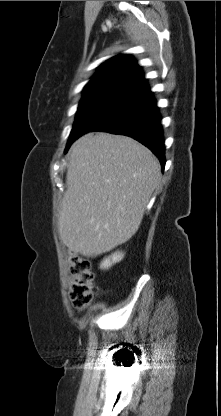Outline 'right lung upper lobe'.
I'll list each match as a JSON object with an SVG mask.
<instances>
[{"label": "right lung upper lobe", "instance_id": "cb5924a9", "mask_svg": "<svg viewBox=\"0 0 221 416\" xmlns=\"http://www.w3.org/2000/svg\"><path fill=\"white\" fill-rule=\"evenodd\" d=\"M149 89L143 72L130 55H118L99 66L84 88V97L111 94L124 97Z\"/></svg>", "mask_w": 221, "mask_h": 416}]
</instances>
